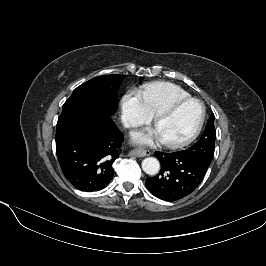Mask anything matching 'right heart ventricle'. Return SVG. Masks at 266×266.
<instances>
[{"label": "right heart ventricle", "mask_w": 266, "mask_h": 266, "mask_svg": "<svg viewBox=\"0 0 266 266\" xmlns=\"http://www.w3.org/2000/svg\"><path fill=\"white\" fill-rule=\"evenodd\" d=\"M141 95L152 116L176 101L191 97L183 88L170 82L147 84L142 89Z\"/></svg>", "instance_id": "e07e8e85"}]
</instances>
